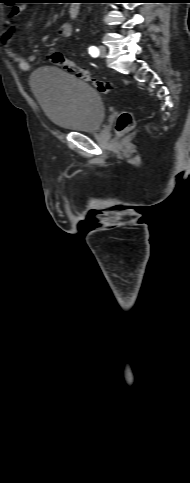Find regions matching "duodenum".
Returning a JSON list of instances; mask_svg holds the SVG:
<instances>
[{"mask_svg": "<svg viewBox=\"0 0 190 483\" xmlns=\"http://www.w3.org/2000/svg\"><path fill=\"white\" fill-rule=\"evenodd\" d=\"M79 8V4L76 1H73L69 6V16L73 19L76 18L79 14Z\"/></svg>", "mask_w": 190, "mask_h": 483, "instance_id": "410a0bca", "label": "duodenum"}]
</instances>
